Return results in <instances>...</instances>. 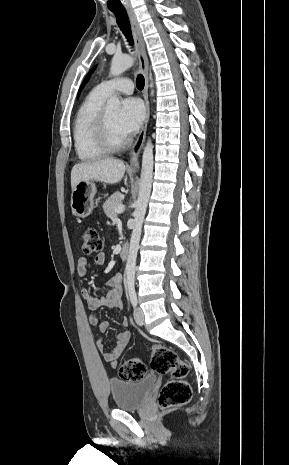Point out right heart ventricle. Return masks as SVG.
Returning <instances> with one entry per match:
<instances>
[{
  "mask_svg": "<svg viewBox=\"0 0 289 465\" xmlns=\"http://www.w3.org/2000/svg\"><path fill=\"white\" fill-rule=\"evenodd\" d=\"M106 98L95 88L85 98L75 116L74 147L77 157L83 162L95 161L108 153L96 140V122Z\"/></svg>",
  "mask_w": 289,
  "mask_h": 465,
  "instance_id": "right-heart-ventricle-1",
  "label": "right heart ventricle"
}]
</instances>
